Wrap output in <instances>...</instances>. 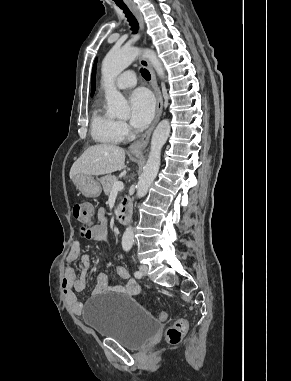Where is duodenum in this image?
Listing matches in <instances>:
<instances>
[{
    "mask_svg": "<svg viewBox=\"0 0 291 381\" xmlns=\"http://www.w3.org/2000/svg\"><path fill=\"white\" fill-rule=\"evenodd\" d=\"M118 219L121 224L129 221V201H122L118 209Z\"/></svg>",
    "mask_w": 291,
    "mask_h": 381,
    "instance_id": "410a0bca",
    "label": "duodenum"
}]
</instances>
